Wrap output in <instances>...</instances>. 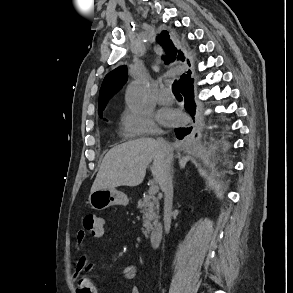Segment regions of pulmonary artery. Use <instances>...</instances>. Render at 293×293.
<instances>
[{"instance_id":"obj_1","label":"pulmonary artery","mask_w":293,"mask_h":293,"mask_svg":"<svg viewBox=\"0 0 293 293\" xmlns=\"http://www.w3.org/2000/svg\"><path fill=\"white\" fill-rule=\"evenodd\" d=\"M158 102L161 104H171L174 102V96L170 88H164L161 90L158 96Z\"/></svg>"}]
</instances>
